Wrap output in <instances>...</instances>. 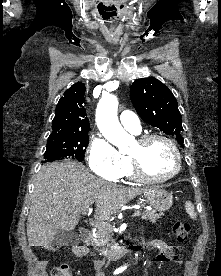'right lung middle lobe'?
<instances>
[{
    "mask_svg": "<svg viewBox=\"0 0 221 276\" xmlns=\"http://www.w3.org/2000/svg\"><path fill=\"white\" fill-rule=\"evenodd\" d=\"M89 143L88 134L76 135L72 137L48 138L47 148L44 154V161L73 159L82 161L84 153Z\"/></svg>",
    "mask_w": 221,
    "mask_h": 276,
    "instance_id": "right-lung-middle-lobe-1",
    "label": "right lung middle lobe"
}]
</instances>
